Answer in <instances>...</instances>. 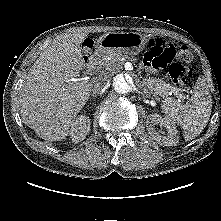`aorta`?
Listing matches in <instances>:
<instances>
[{
  "instance_id": "obj_1",
  "label": "aorta",
  "mask_w": 221,
  "mask_h": 221,
  "mask_svg": "<svg viewBox=\"0 0 221 221\" xmlns=\"http://www.w3.org/2000/svg\"><path fill=\"white\" fill-rule=\"evenodd\" d=\"M113 88L119 94L128 93L131 89V84L128 78L123 74H118L113 79Z\"/></svg>"
}]
</instances>
